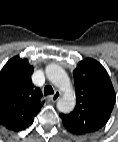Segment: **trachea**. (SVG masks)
<instances>
[{"instance_id": "3493384b", "label": "trachea", "mask_w": 118, "mask_h": 142, "mask_svg": "<svg viewBox=\"0 0 118 142\" xmlns=\"http://www.w3.org/2000/svg\"><path fill=\"white\" fill-rule=\"evenodd\" d=\"M53 93H54V90L50 85L45 86V88H44L45 95H51Z\"/></svg>"}]
</instances>
